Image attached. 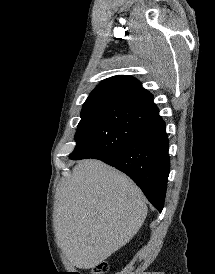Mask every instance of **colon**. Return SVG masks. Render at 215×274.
<instances>
[{
	"mask_svg": "<svg viewBox=\"0 0 215 274\" xmlns=\"http://www.w3.org/2000/svg\"><path fill=\"white\" fill-rule=\"evenodd\" d=\"M106 270H107V263L101 262L95 267L94 274H103Z\"/></svg>",
	"mask_w": 215,
	"mask_h": 274,
	"instance_id": "colon-1",
	"label": "colon"
}]
</instances>
